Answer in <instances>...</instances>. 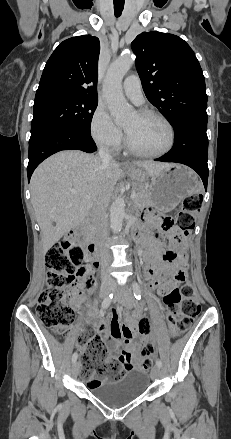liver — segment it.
<instances>
[{"mask_svg":"<svg viewBox=\"0 0 231 439\" xmlns=\"http://www.w3.org/2000/svg\"><path fill=\"white\" fill-rule=\"evenodd\" d=\"M134 165L153 176L174 164L138 161ZM122 177L119 163L104 164L100 157L79 150L58 152L41 163L32 175L30 189L43 253L84 221L101 192L110 201Z\"/></svg>","mask_w":231,"mask_h":439,"instance_id":"liver-1","label":"liver"}]
</instances>
